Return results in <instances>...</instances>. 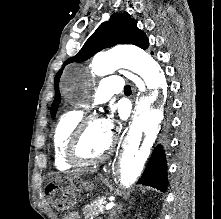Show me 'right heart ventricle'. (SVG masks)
<instances>
[{"instance_id": "right-heart-ventricle-1", "label": "right heart ventricle", "mask_w": 221, "mask_h": 219, "mask_svg": "<svg viewBox=\"0 0 221 219\" xmlns=\"http://www.w3.org/2000/svg\"><path fill=\"white\" fill-rule=\"evenodd\" d=\"M82 117L81 111H67L59 117L54 127L52 135L53 161L55 168L60 171L68 170L73 166L66 159L65 150L68 140Z\"/></svg>"}]
</instances>
